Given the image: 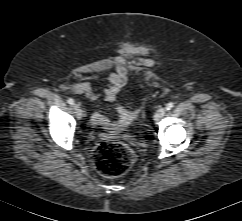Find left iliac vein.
<instances>
[{
    "instance_id": "4c4485c4",
    "label": "left iliac vein",
    "mask_w": 242,
    "mask_h": 221,
    "mask_svg": "<svg viewBox=\"0 0 242 221\" xmlns=\"http://www.w3.org/2000/svg\"><path fill=\"white\" fill-rule=\"evenodd\" d=\"M165 113H166L165 108L160 107V108L155 112L154 117H155L156 120H160L161 118L164 117Z\"/></svg>"
}]
</instances>
